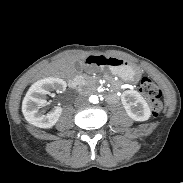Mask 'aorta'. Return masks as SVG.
I'll return each mask as SVG.
<instances>
[{"instance_id": "aorta-1", "label": "aorta", "mask_w": 183, "mask_h": 183, "mask_svg": "<svg viewBox=\"0 0 183 183\" xmlns=\"http://www.w3.org/2000/svg\"><path fill=\"white\" fill-rule=\"evenodd\" d=\"M91 102L92 103H97L98 102V97L95 96V95L91 96Z\"/></svg>"}]
</instances>
